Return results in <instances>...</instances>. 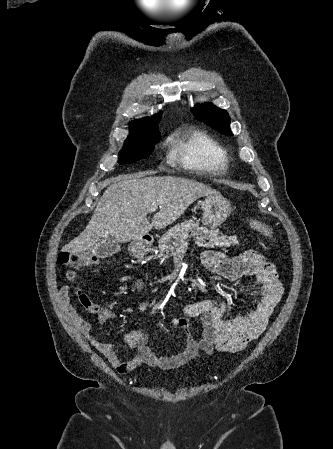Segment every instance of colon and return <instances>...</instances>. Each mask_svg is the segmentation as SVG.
Here are the masks:
<instances>
[{
  "mask_svg": "<svg viewBox=\"0 0 333 449\" xmlns=\"http://www.w3.org/2000/svg\"><path fill=\"white\" fill-rule=\"evenodd\" d=\"M250 226L256 232L268 238L274 237V229L254 218L249 219ZM100 257L84 251H62L58 255V263L71 268H93L100 264Z\"/></svg>",
  "mask_w": 333,
  "mask_h": 449,
  "instance_id": "1",
  "label": "colon"
}]
</instances>
